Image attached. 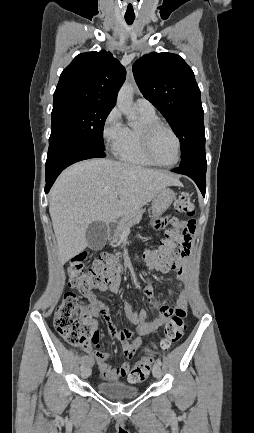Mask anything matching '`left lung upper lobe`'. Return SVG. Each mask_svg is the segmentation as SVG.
<instances>
[{"label":"left lung upper lobe","mask_w":254,"mask_h":433,"mask_svg":"<svg viewBox=\"0 0 254 433\" xmlns=\"http://www.w3.org/2000/svg\"><path fill=\"white\" fill-rule=\"evenodd\" d=\"M133 74L143 96L162 113L178 136L180 166H207L200 89L184 59L172 53H151L133 64Z\"/></svg>","instance_id":"obj_1"}]
</instances>
